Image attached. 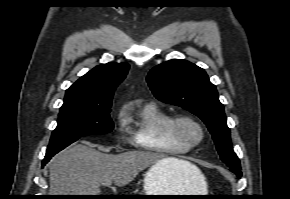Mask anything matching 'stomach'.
I'll return each instance as SVG.
<instances>
[{
    "instance_id": "0dacf381",
    "label": "stomach",
    "mask_w": 290,
    "mask_h": 199,
    "mask_svg": "<svg viewBox=\"0 0 290 199\" xmlns=\"http://www.w3.org/2000/svg\"><path fill=\"white\" fill-rule=\"evenodd\" d=\"M144 195H205L207 184L200 172L189 182L181 176L171 174L161 163L152 165L144 174ZM186 187V188H184ZM180 189H185L179 191ZM159 199H195L188 197H149Z\"/></svg>"
}]
</instances>
